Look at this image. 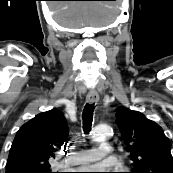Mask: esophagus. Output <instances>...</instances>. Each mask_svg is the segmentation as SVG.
<instances>
[{
  "label": "esophagus",
  "mask_w": 173,
  "mask_h": 173,
  "mask_svg": "<svg viewBox=\"0 0 173 173\" xmlns=\"http://www.w3.org/2000/svg\"><path fill=\"white\" fill-rule=\"evenodd\" d=\"M86 101L87 103L89 104H94V103H97L99 101V95L97 92H89L86 96Z\"/></svg>",
  "instance_id": "34e87169"
}]
</instances>
